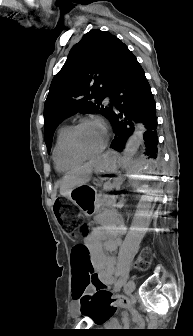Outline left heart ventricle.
Wrapping results in <instances>:
<instances>
[{"instance_id":"b2bd125f","label":"left heart ventricle","mask_w":193,"mask_h":336,"mask_svg":"<svg viewBox=\"0 0 193 336\" xmlns=\"http://www.w3.org/2000/svg\"><path fill=\"white\" fill-rule=\"evenodd\" d=\"M104 138V129L97 123H88L77 133L78 144L84 150L90 152L98 149L102 145Z\"/></svg>"}]
</instances>
